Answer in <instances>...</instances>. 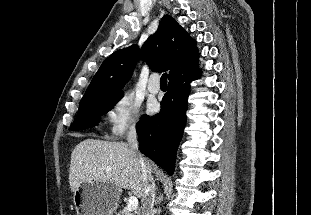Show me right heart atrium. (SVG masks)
Instances as JSON below:
<instances>
[{
  "mask_svg": "<svg viewBox=\"0 0 311 215\" xmlns=\"http://www.w3.org/2000/svg\"><path fill=\"white\" fill-rule=\"evenodd\" d=\"M141 107L131 94H123L106 115L113 137L135 134L138 128Z\"/></svg>",
  "mask_w": 311,
  "mask_h": 215,
  "instance_id": "right-heart-atrium-1",
  "label": "right heart atrium"
}]
</instances>
